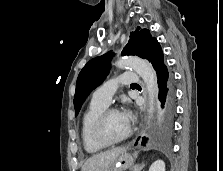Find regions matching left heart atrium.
<instances>
[{
	"instance_id": "1",
	"label": "left heart atrium",
	"mask_w": 223,
	"mask_h": 171,
	"mask_svg": "<svg viewBox=\"0 0 223 171\" xmlns=\"http://www.w3.org/2000/svg\"><path fill=\"white\" fill-rule=\"evenodd\" d=\"M121 114L123 115L125 120L130 124V120H131L130 113L128 111H123Z\"/></svg>"
}]
</instances>
